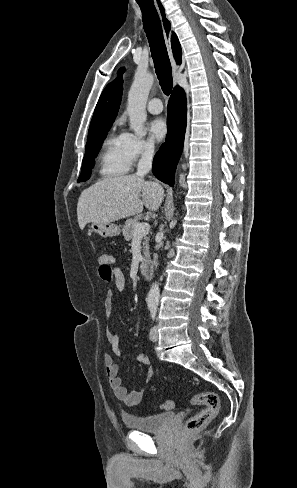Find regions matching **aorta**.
Masks as SVG:
<instances>
[{"mask_svg":"<svg viewBox=\"0 0 297 488\" xmlns=\"http://www.w3.org/2000/svg\"><path fill=\"white\" fill-rule=\"evenodd\" d=\"M153 82L154 76L152 74L138 71L128 93L127 111L130 117V128L137 135L144 133V123L147 119L146 103ZM159 297V283L155 282L152 284L147 296L148 307L158 306Z\"/></svg>","mask_w":297,"mask_h":488,"instance_id":"aorta-1","label":"aorta"}]
</instances>
